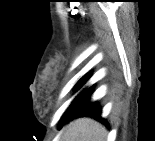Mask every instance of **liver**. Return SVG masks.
<instances>
[{
	"instance_id": "liver-1",
	"label": "liver",
	"mask_w": 155,
	"mask_h": 141,
	"mask_svg": "<svg viewBox=\"0 0 155 141\" xmlns=\"http://www.w3.org/2000/svg\"><path fill=\"white\" fill-rule=\"evenodd\" d=\"M107 130L91 118L72 121L62 134V141H106Z\"/></svg>"
}]
</instances>
